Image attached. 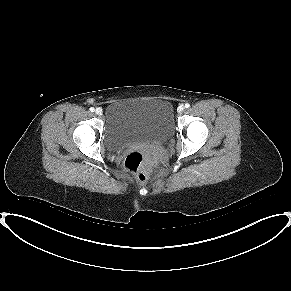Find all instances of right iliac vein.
Segmentation results:
<instances>
[{
  "mask_svg": "<svg viewBox=\"0 0 291 291\" xmlns=\"http://www.w3.org/2000/svg\"><path fill=\"white\" fill-rule=\"evenodd\" d=\"M95 113H96L97 115L101 116L103 112H102V110H101L100 108H97V109L95 110Z\"/></svg>",
  "mask_w": 291,
  "mask_h": 291,
  "instance_id": "right-iliac-vein-1",
  "label": "right iliac vein"
}]
</instances>
